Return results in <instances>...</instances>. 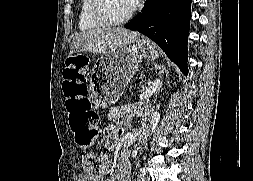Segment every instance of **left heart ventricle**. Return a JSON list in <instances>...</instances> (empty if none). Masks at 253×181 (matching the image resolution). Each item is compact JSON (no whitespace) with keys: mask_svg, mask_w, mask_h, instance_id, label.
<instances>
[{"mask_svg":"<svg viewBox=\"0 0 253 181\" xmlns=\"http://www.w3.org/2000/svg\"><path fill=\"white\" fill-rule=\"evenodd\" d=\"M131 10L127 0H107L106 11L113 19H121Z\"/></svg>","mask_w":253,"mask_h":181,"instance_id":"b2bd125f","label":"left heart ventricle"}]
</instances>
